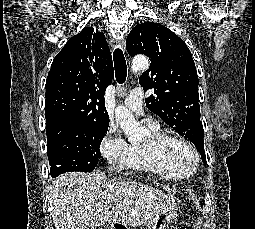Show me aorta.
Listing matches in <instances>:
<instances>
[{
	"label": "aorta",
	"mask_w": 255,
	"mask_h": 229,
	"mask_svg": "<svg viewBox=\"0 0 255 229\" xmlns=\"http://www.w3.org/2000/svg\"><path fill=\"white\" fill-rule=\"evenodd\" d=\"M149 67L146 57H135L132 62V70L137 73ZM115 118L130 142H139L143 137V128L134 118L132 113L124 106H118L115 110Z\"/></svg>",
	"instance_id": "762f6f07"
}]
</instances>
